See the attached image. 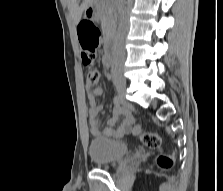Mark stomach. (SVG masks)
Masks as SVG:
<instances>
[{"label": "stomach", "mask_w": 223, "mask_h": 191, "mask_svg": "<svg viewBox=\"0 0 223 191\" xmlns=\"http://www.w3.org/2000/svg\"><path fill=\"white\" fill-rule=\"evenodd\" d=\"M85 17H89L87 14H85Z\"/></svg>", "instance_id": "obj_1"}]
</instances>
